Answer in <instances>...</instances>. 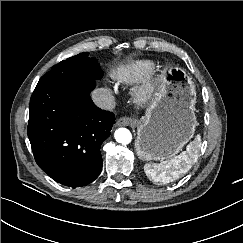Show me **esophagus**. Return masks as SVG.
<instances>
[{"instance_id":"1","label":"esophagus","mask_w":243,"mask_h":243,"mask_svg":"<svg viewBox=\"0 0 243 243\" xmlns=\"http://www.w3.org/2000/svg\"><path fill=\"white\" fill-rule=\"evenodd\" d=\"M116 124L118 126H130V125H135L136 120L129 117H121L116 121Z\"/></svg>"}]
</instances>
